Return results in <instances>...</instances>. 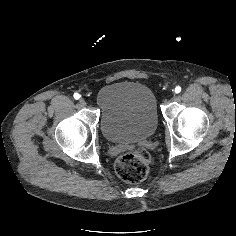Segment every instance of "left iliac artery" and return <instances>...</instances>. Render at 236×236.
Masks as SVG:
<instances>
[{
  "label": "left iliac artery",
  "instance_id": "1",
  "mask_svg": "<svg viewBox=\"0 0 236 236\" xmlns=\"http://www.w3.org/2000/svg\"><path fill=\"white\" fill-rule=\"evenodd\" d=\"M180 92H181V87L180 86H176L175 93H180Z\"/></svg>",
  "mask_w": 236,
  "mask_h": 236
}]
</instances>
